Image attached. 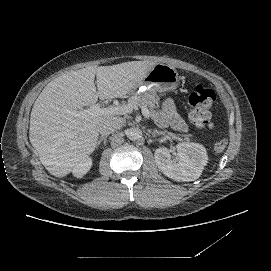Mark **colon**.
<instances>
[{
	"label": "colon",
	"instance_id": "5ec220e1",
	"mask_svg": "<svg viewBox=\"0 0 271 271\" xmlns=\"http://www.w3.org/2000/svg\"><path fill=\"white\" fill-rule=\"evenodd\" d=\"M215 100V92L203 85H197L190 94V119L198 129H209L212 127L211 108ZM226 147L227 140L225 139H221L215 144L217 152L224 151Z\"/></svg>",
	"mask_w": 271,
	"mask_h": 271
}]
</instances>
